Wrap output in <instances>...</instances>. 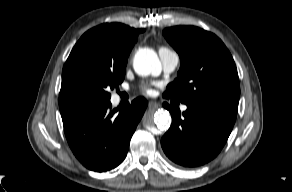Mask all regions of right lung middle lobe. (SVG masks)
I'll return each instance as SVG.
<instances>
[{
  "label": "right lung middle lobe",
  "instance_id": "obj_1",
  "mask_svg": "<svg viewBox=\"0 0 292 192\" xmlns=\"http://www.w3.org/2000/svg\"><path fill=\"white\" fill-rule=\"evenodd\" d=\"M126 63L113 58L94 37L83 35L63 67L59 98L110 100L109 91L124 80Z\"/></svg>",
  "mask_w": 292,
  "mask_h": 192
}]
</instances>
